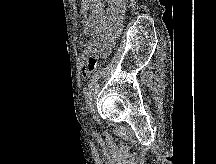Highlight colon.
<instances>
[{
  "label": "colon",
  "mask_w": 216,
  "mask_h": 164,
  "mask_svg": "<svg viewBox=\"0 0 216 164\" xmlns=\"http://www.w3.org/2000/svg\"><path fill=\"white\" fill-rule=\"evenodd\" d=\"M97 67V58L91 55L85 58L82 62V74L84 77H89Z\"/></svg>",
  "instance_id": "obj_1"
}]
</instances>
